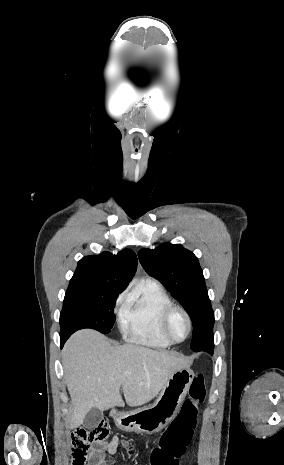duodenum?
Returning <instances> with one entry per match:
<instances>
[{"label": "duodenum", "instance_id": "obj_1", "mask_svg": "<svg viewBox=\"0 0 284 465\" xmlns=\"http://www.w3.org/2000/svg\"><path fill=\"white\" fill-rule=\"evenodd\" d=\"M126 412H117L116 414H114V417L116 418L117 421H119V418L123 415H125Z\"/></svg>", "mask_w": 284, "mask_h": 465}]
</instances>
